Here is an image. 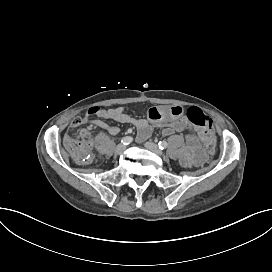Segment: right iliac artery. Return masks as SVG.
<instances>
[{
    "label": "right iliac artery",
    "instance_id": "right-iliac-artery-1",
    "mask_svg": "<svg viewBox=\"0 0 272 272\" xmlns=\"http://www.w3.org/2000/svg\"><path fill=\"white\" fill-rule=\"evenodd\" d=\"M133 141V138L130 136H126L124 138H122L121 143L124 145H128Z\"/></svg>",
    "mask_w": 272,
    "mask_h": 272
}]
</instances>
